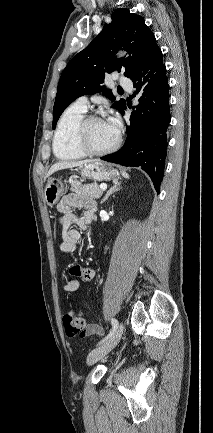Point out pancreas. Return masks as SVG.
<instances>
[{
	"mask_svg": "<svg viewBox=\"0 0 213 433\" xmlns=\"http://www.w3.org/2000/svg\"><path fill=\"white\" fill-rule=\"evenodd\" d=\"M71 191L78 196H87L93 199H99L103 193V190L96 183L83 185L77 181L71 183Z\"/></svg>",
	"mask_w": 213,
	"mask_h": 433,
	"instance_id": "1",
	"label": "pancreas"
}]
</instances>
